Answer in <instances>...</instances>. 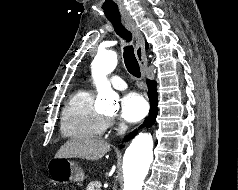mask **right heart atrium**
<instances>
[{"instance_id": "1", "label": "right heart atrium", "mask_w": 238, "mask_h": 190, "mask_svg": "<svg viewBox=\"0 0 238 190\" xmlns=\"http://www.w3.org/2000/svg\"><path fill=\"white\" fill-rule=\"evenodd\" d=\"M112 123H113L112 121H109V125H112Z\"/></svg>"}]
</instances>
